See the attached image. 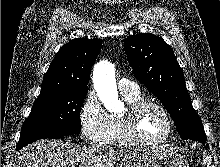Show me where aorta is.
I'll use <instances>...</instances> for the list:
<instances>
[{"label": "aorta", "instance_id": "1", "mask_svg": "<svg viewBox=\"0 0 220 167\" xmlns=\"http://www.w3.org/2000/svg\"><path fill=\"white\" fill-rule=\"evenodd\" d=\"M93 83L99 99L111 112L123 108L118 97L114 66L108 61L99 62L93 71Z\"/></svg>", "mask_w": 220, "mask_h": 167}]
</instances>
